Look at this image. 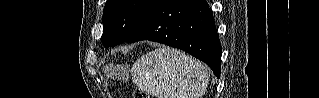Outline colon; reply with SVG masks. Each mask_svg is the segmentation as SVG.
Wrapping results in <instances>:
<instances>
[{"label":"colon","instance_id":"5ec220e1","mask_svg":"<svg viewBox=\"0 0 319 98\" xmlns=\"http://www.w3.org/2000/svg\"><path fill=\"white\" fill-rule=\"evenodd\" d=\"M135 98H149V95L143 89H138L136 91Z\"/></svg>","mask_w":319,"mask_h":98}]
</instances>
